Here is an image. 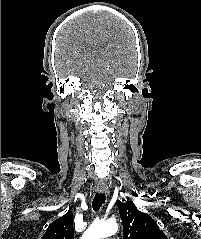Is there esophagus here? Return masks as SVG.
Wrapping results in <instances>:
<instances>
[{
    "label": "esophagus",
    "mask_w": 201,
    "mask_h": 239,
    "mask_svg": "<svg viewBox=\"0 0 201 239\" xmlns=\"http://www.w3.org/2000/svg\"><path fill=\"white\" fill-rule=\"evenodd\" d=\"M97 191L99 193H108V188L106 186H97Z\"/></svg>",
    "instance_id": "34e87169"
}]
</instances>
